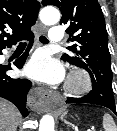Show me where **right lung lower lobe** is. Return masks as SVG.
Here are the masks:
<instances>
[{
  "label": "right lung lower lobe",
  "instance_id": "right-lung-lower-lobe-1",
  "mask_svg": "<svg viewBox=\"0 0 117 131\" xmlns=\"http://www.w3.org/2000/svg\"><path fill=\"white\" fill-rule=\"evenodd\" d=\"M33 38V33L25 38L30 41L28 49L18 60L14 62V65L19 69H21L25 63L28 51L33 43ZM1 51L0 54H2ZM8 70H12L11 65L0 64V97L15 104L25 117L28 115V110L26 109L27 93L32 86V82L28 79L11 78L6 74V71Z\"/></svg>",
  "mask_w": 117,
  "mask_h": 131
}]
</instances>
